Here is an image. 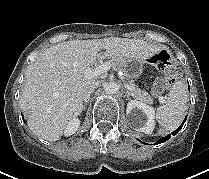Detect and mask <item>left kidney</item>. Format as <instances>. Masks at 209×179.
<instances>
[{
    "mask_svg": "<svg viewBox=\"0 0 209 179\" xmlns=\"http://www.w3.org/2000/svg\"><path fill=\"white\" fill-rule=\"evenodd\" d=\"M141 111L146 116L144 122L139 120L138 112ZM126 114L130 117L131 125L140 132L150 134L155 127V111L152 106L137 100H131L127 104Z\"/></svg>",
    "mask_w": 209,
    "mask_h": 179,
    "instance_id": "left-kidney-1",
    "label": "left kidney"
}]
</instances>
